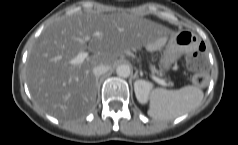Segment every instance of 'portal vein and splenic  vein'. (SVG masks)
<instances>
[{
    "label": "portal vein and splenic vein",
    "instance_id": "obj_1",
    "mask_svg": "<svg viewBox=\"0 0 238 145\" xmlns=\"http://www.w3.org/2000/svg\"><path fill=\"white\" fill-rule=\"evenodd\" d=\"M87 57H88V53H87V52H81V53H79L75 58L71 59V60L69 61V64H71V65L81 64V63L84 62V60H85ZM153 79H154L157 83H159V84H161V85H164V86L167 85V82H166L165 80H163V79L157 78V77H155V76H153Z\"/></svg>",
    "mask_w": 238,
    "mask_h": 145
}]
</instances>
